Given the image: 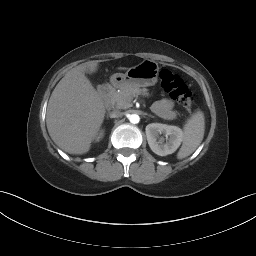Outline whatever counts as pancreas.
I'll list each match as a JSON object with an SVG mask.
<instances>
[{"instance_id":"obj_1","label":"pancreas","mask_w":256,"mask_h":256,"mask_svg":"<svg viewBox=\"0 0 256 256\" xmlns=\"http://www.w3.org/2000/svg\"><path fill=\"white\" fill-rule=\"evenodd\" d=\"M137 95L149 96V93L146 88L126 87L113 92L110 96V102L115 108L126 109L131 107L132 100Z\"/></svg>"}]
</instances>
